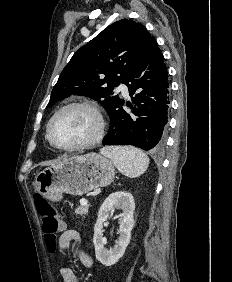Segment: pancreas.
Instances as JSON below:
<instances>
[{
	"mask_svg": "<svg viewBox=\"0 0 232 282\" xmlns=\"http://www.w3.org/2000/svg\"><path fill=\"white\" fill-rule=\"evenodd\" d=\"M88 209H89L88 205L86 206L81 205L75 210V213L77 216H82L83 218H85V215L88 213Z\"/></svg>",
	"mask_w": 232,
	"mask_h": 282,
	"instance_id": "obj_1",
	"label": "pancreas"
}]
</instances>
